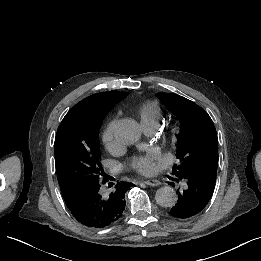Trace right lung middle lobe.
I'll return each mask as SVG.
<instances>
[{"label":"right lung middle lobe","instance_id":"dd1d6c3e","mask_svg":"<svg viewBox=\"0 0 261 261\" xmlns=\"http://www.w3.org/2000/svg\"><path fill=\"white\" fill-rule=\"evenodd\" d=\"M105 116L70 110L55 138V165L65 201L81 188L99 182L105 173L100 163L99 127Z\"/></svg>","mask_w":261,"mask_h":261}]
</instances>
